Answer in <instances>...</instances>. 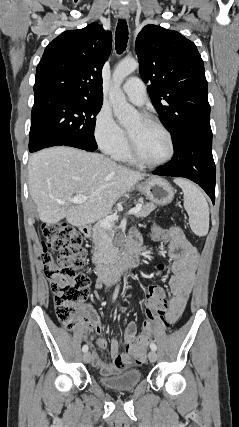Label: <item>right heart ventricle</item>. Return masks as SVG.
Returning a JSON list of instances; mask_svg holds the SVG:
<instances>
[{"mask_svg":"<svg viewBox=\"0 0 239 427\" xmlns=\"http://www.w3.org/2000/svg\"><path fill=\"white\" fill-rule=\"evenodd\" d=\"M113 158L122 162H133V160L131 159L128 153L127 144L121 150H119L115 155H113Z\"/></svg>","mask_w":239,"mask_h":427,"instance_id":"1","label":"right heart ventricle"}]
</instances>
